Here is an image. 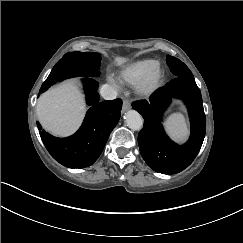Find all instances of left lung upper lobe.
Instances as JSON below:
<instances>
[{
	"label": "left lung upper lobe",
	"instance_id": "left-lung-upper-lobe-1",
	"mask_svg": "<svg viewBox=\"0 0 243 243\" xmlns=\"http://www.w3.org/2000/svg\"><path fill=\"white\" fill-rule=\"evenodd\" d=\"M166 61L170 71L175 75V77L194 78L192 72L179 59L167 55Z\"/></svg>",
	"mask_w": 243,
	"mask_h": 243
}]
</instances>
